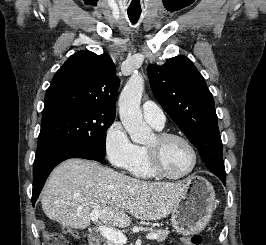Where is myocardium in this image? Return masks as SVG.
I'll use <instances>...</instances> for the list:
<instances>
[{
    "mask_svg": "<svg viewBox=\"0 0 266 245\" xmlns=\"http://www.w3.org/2000/svg\"><path fill=\"white\" fill-rule=\"evenodd\" d=\"M155 136L159 142H165L169 139L176 138V139H179V140L183 141L184 143H186L192 151L193 163H192L190 170L187 173H185L184 175H182V176L169 175L162 169L157 154L155 152L149 150L146 147L145 151H146L147 161H148V164H149V167H150L152 173L158 178L166 179V180H172V181H180V180H185V179L189 178L194 173V171L196 170V168L198 166V162H199L198 151H197L195 145L191 142V140L182 134L174 133V132H167V131H159Z\"/></svg>",
    "mask_w": 266,
    "mask_h": 245,
    "instance_id": "myocardium-1",
    "label": "myocardium"
}]
</instances>
